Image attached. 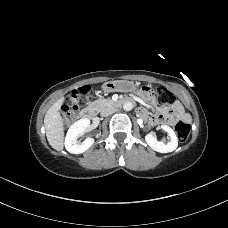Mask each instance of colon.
Instances as JSON below:
<instances>
[{
    "label": "colon",
    "instance_id": "1",
    "mask_svg": "<svg viewBox=\"0 0 228 228\" xmlns=\"http://www.w3.org/2000/svg\"><path fill=\"white\" fill-rule=\"evenodd\" d=\"M143 91L147 92L150 90L149 87H143ZM91 87L88 85H84L74 89L69 97L67 102L61 107V113L65 117V119L74 118L77 110L79 109V99L82 95H86L90 93ZM155 95L158 103L160 105H170L175 101V95L166 87L159 86L155 90ZM175 130L177 133V137L181 142L187 141L190 135V125L185 121H179Z\"/></svg>",
    "mask_w": 228,
    "mask_h": 228
}]
</instances>
